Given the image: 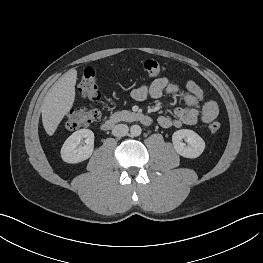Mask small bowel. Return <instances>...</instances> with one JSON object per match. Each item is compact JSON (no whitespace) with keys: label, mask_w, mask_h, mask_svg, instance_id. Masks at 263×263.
<instances>
[{"label":"small bowel","mask_w":263,"mask_h":263,"mask_svg":"<svg viewBox=\"0 0 263 263\" xmlns=\"http://www.w3.org/2000/svg\"><path fill=\"white\" fill-rule=\"evenodd\" d=\"M185 92L181 99L186 107H179L173 111L171 117L162 115L158 123L163 128H180L183 125H196L198 121L209 123L218 115V105L215 101L205 98L203 90L192 80L185 85ZM180 90L179 84L167 77L154 79L149 85H142L132 90V97L136 101H144L147 97L159 99L164 95H173Z\"/></svg>","instance_id":"small-bowel-1"}]
</instances>
